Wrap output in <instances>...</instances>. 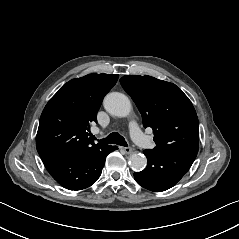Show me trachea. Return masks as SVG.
Returning <instances> with one entry per match:
<instances>
[{
	"instance_id": "trachea-1",
	"label": "trachea",
	"mask_w": 239,
	"mask_h": 239,
	"mask_svg": "<svg viewBox=\"0 0 239 239\" xmlns=\"http://www.w3.org/2000/svg\"><path fill=\"white\" fill-rule=\"evenodd\" d=\"M93 139H96L95 136H92ZM101 143H108V144H116L127 147L128 144L123 136H121L118 132H113L109 134L106 138L99 140Z\"/></svg>"
}]
</instances>
